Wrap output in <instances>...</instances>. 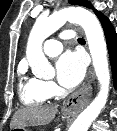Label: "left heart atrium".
I'll return each instance as SVG.
<instances>
[{"label": "left heart atrium", "instance_id": "1", "mask_svg": "<svg viewBox=\"0 0 117 131\" xmlns=\"http://www.w3.org/2000/svg\"><path fill=\"white\" fill-rule=\"evenodd\" d=\"M57 78L61 85L72 88L84 78L86 71L85 59L78 52L64 53L56 63Z\"/></svg>", "mask_w": 117, "mask_h": 131}]
</instances>
